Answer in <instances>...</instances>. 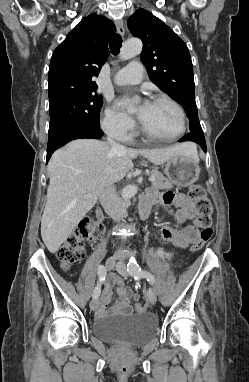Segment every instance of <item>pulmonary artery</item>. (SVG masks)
<instances>
[{"instance_id":"obj_1","label":"pulmonary artery","mask_w":249,"mask_h":382,"mask_svg":"<svg viewBox=\"0 0 249 382\" xmlns=\"http://www.w3.org/2000/svg\"><path fill=\"white\" fill-rule=\"evenodd\" d=\"M144 68L142 63L133 61L121 69L115 76L117 85H133L139 83L143 78Z\"/></svg>"}]
</instances>
